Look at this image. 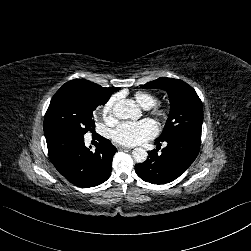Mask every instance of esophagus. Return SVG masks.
Instances as JSON below:
<instances>
[{"mask_svg":"<svg viewBox=\"0 0 251 251\" xmlns=\"http://www.w3.org/2000/svg\"><path fill=\"white\" fill-rule=\"evenodd\" d=\"M117 149H118L119 151L130 150V148L125 147V146H120V145L117 146Z\"/></svg>","mask_w":251,"mask_h":251,"instance_id":"esophagus-1","label":"esophagus"}]
</instances>
